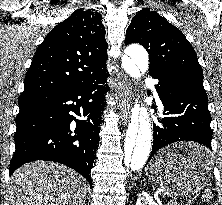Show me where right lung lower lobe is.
I'll use <instances>...</instances> for the list:
<instances>
[{"label": "right lung lower lobe", "mask_w": 222, "mask_h": 205, "mask_svg": "<svg viewBox=\"0 0 222 205\" xmlns=\"http://www.w3.org/2000/svg\"><path fill=\"white\" fill-rule=\"evenodd\" d=\"M107 75L67 90L20 96L10 175L25 163L49 160L75 169L92 185L90 170L99 145L104 94L109 90ZM75 115L88 118L79 120Z\"/></svg>", "instance_id": "right-lung-lower-lobe-1"}]
</instances>
